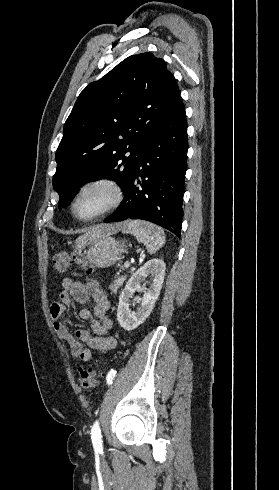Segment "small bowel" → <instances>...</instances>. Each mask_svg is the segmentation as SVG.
<instances>
[{
    "label": "small bowel",
    "instance_id": "small-bowel-1",
    "mask_svg": "<svg viewBox=\"0 0 279 490\" xmlns=\"http://www.w3.org/2000/svg\"><path fill=\"white\" fill-rule=\"evenodd\" d=\"M61 286L59 300L50 305V315L55 333L69 347L73 358L78 362H88L92 358L91 350L105 353L113 349L116 340L109 333L113 322L108 316L111 300L98 283L64 278ZM74 300L81 304L91 300L93 306L91 310L83 308L79 312V318L89 322L91 329L79 328L72 334L65 322L68 319L66 310Z\"/></svg>",
    "mask_w": 279,
    "mask_h": 490
}]
</instances>
